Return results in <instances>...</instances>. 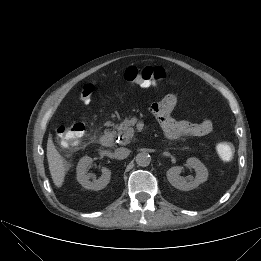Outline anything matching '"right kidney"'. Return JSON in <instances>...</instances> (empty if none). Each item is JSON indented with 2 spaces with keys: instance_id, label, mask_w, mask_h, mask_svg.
Segmentation results:
<instances>
[{
  "instance_id": "1",
  "label": "right kidney",
  "mask_w": 261,
  "mask_h": 261,
  "mask_svg": "<svg viewBox=\"0 0 261 261\" xmlns=\"http://www.w3.org/2000/svg\"><path fill=\"white\" fill-rule=\"evenodd\" d=\"M92 163V158L88 156L80 159L77 165V180L84 188L98 191L106 187L110 182L111 171L105 167H102L101 177L90 181L87 171L91 167Z\"/></svg>"
}]
</instances>
